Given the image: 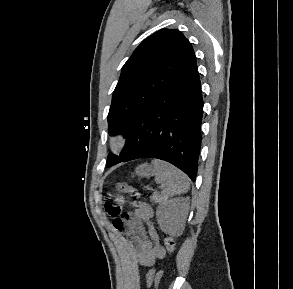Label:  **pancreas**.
<instances>
[{
    "label": "pancreas",
    "mask_w": 293,
    "mask_h": 289,
    "mask_svg": "<svg viewBox=\"0 0 293 289\" xmlns=\"http://www.w3.org/2000/svg\"><path fill=\"white\" fill-rule=\"evenodd\" d=\"M150 200L155 203H159L163 200V197L158 193L154 192L152 196H150Z\"/></svg>",
    "instance_id": "cf45deb5"
}]
</instances>
